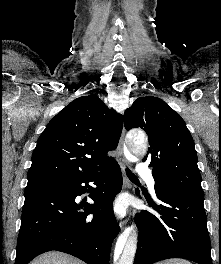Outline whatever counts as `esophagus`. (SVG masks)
Masks as SVG:
<instances>
[{
    "instance_id": "esophagus-1",
    "label": "esophagus",
    "mask_w": 221,
    "mask_h": 264,
    "mask_svg": "<svg viewBox=\"0 0 221 264\" xmlns=\"http://www.w3.org/2000/svg\"><path fill=\"white\" fill-rule=\"evenodd\" d=\"M124 140H125V129L123 128L122 134H121V137L119 140L118 148H117V162L122 169L124 188L128 190L131 185H130V181L127 177V174H126L127 164H126V160L124 157V149H125ZM127 222H128V219L121 220L119 223L120 228H123Z\"/></svg>"
}]
</instances>
